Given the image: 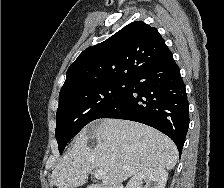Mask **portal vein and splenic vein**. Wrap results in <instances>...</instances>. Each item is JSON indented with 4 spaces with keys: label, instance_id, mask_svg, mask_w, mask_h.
I'll return each mask as SVG.
<instances>
[{
    "label": "portal vein and splenic vein",
    "instance_id": "1",
    "mask_svg": "<svg viewBox=\"0 0 224 188\" xmlns=\"http://www.w3.org/2000/svg\"><path fill=\"white\" fill-rule=\"evenodd\" d=\"M93 175L96 179H103L104 172L102 170H95L93 171Z\"/></svg>",
    "mask_w": 224,
    "mask_h": 188
}]
</instances>
